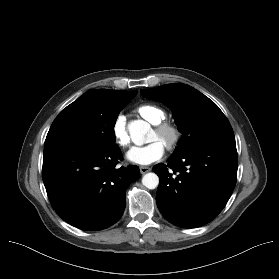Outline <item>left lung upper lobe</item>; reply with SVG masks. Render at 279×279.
Listing matches in <instances>:
<instances>
[{
  "mask_svg": "<svg viewBox=\"0 0 279 279\" xmlns=\"http://www.w3.org/2000/svg\"><path fill=\"white\" fill-rule=\"evenodd\" d=\"M141 95L163 102L172 110L182 133L174 156L186 154L205 144L235 142L232 127L223 112L212 100L193 87L172 83L141 90Z\"/></svg>",
  "mask_w": 279,
  "mask_h": 279,
  "instance_id": "left-lung-upper-lobe-1",
  "label": "left lung upper lobe"
}]
</instances>
